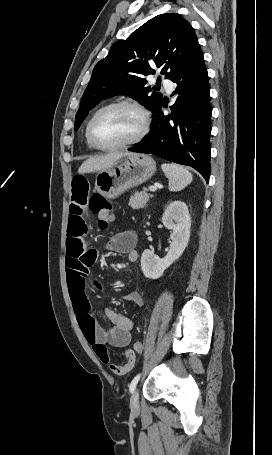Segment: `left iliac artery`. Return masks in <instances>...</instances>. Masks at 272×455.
<instances>
[{
	"instance_id": "44dca946",
	"label": "left iliac artery",
	"mask_w": 272,
	"mask_h": 455,
	"mask_svg": "<svg viewBox=\"0 0 272 455\" xmlns=\"http://www.w3.org/2000/svg\"><path fill=\"white\" fill-rule=\"evenodd\" d=\"M140 376H141V374H137V375L134 377V379L131 381V383H130V385H129V390H130L131 393L134 392V390H135V388H136V385H137V383H138V381H139V379H140Z\"/></svg>"
}]
</instances>
